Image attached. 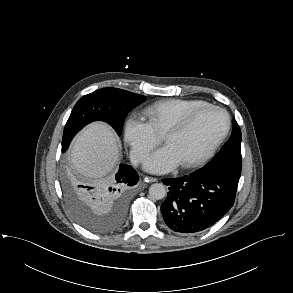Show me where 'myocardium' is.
Here are the masks:
<instances>
[{
    "mask_svg": "<svg viewBox=\"0 0 293 293\" xmlns=\"http://www.w3.org/2000/svg\"><path fill=\"white\" fill-rule=\"evenodd\" d=\"M209 109L217 110L224 114L226 119L225 128L223 132L219 135V137L208 147L205 152L188 162L181 163V166L185 169L194 168L205 163L216 152L218 147L222 144V142L229 134L231 128V117L229 113L227 112V110L220 106L214 104H206L186 114L183 118L169 126L163 134V139L165 142H167L169 136L182 133L184 130L187 129V127L198 115Z\"/></svg>",
    "mask_w": 293,
    "mask_h": 293,
    "instance_id": "obj_1",
    "label": "myocardium"
}]
</instances>
